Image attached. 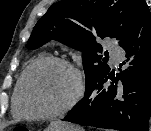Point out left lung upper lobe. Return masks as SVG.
<instances>
[{"label": "left lung upper lobe", "mask_w": 151, "mask_h": 131, "mask_svg": "<svg viewBox=\"0 0 151 131\" xmlns=\"http://www.w3.org/2000/svg\"><path fill=\"white\" fill-rule=\"evenodd\" d=\"M145 0H62L53 4L36 23L26 44L36 49L56 39L82 51L86 90L109 73L107 59L97 40L116 38L122 46ZM107 55V52H105Z\"/></svg>", "instance_id": "5c2ea615"}]
</instances>
